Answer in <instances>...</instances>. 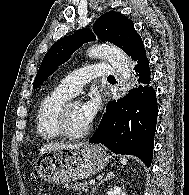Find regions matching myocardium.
<instances>
[{"label": "myocardium", "mask_w": 189, "mask_h": 195, "mask_svg": "<svg viewBox=\"0 0 189 195\" xmlns=\"http://www.w3.org/2000/svg\"><path fill=\"white\" fill-rule=\"evenodd\" d=\"M79 102L76 99H69L64 102L57 112L56 125L60 134L69 139H81L86 137L92 130V124H89L86 129L81 132L74 133L70 130L68 125V116L71 107Z\"/></svg>", "instance_id": "f54148a6"}]
</instances>
